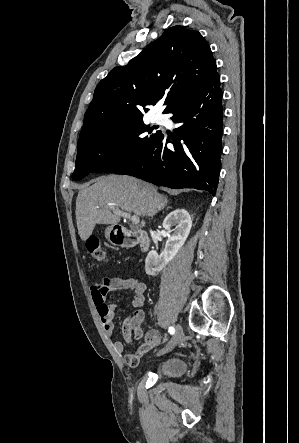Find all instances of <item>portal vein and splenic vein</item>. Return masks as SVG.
I'll list each match as a JSON object with an SVG mask.
<instances>
[{
	"label": "portal vein and splenic vein",
	"instance_id": "18ae733b",
	"mask_svg": "<svg viewBox=\"0 0 299 443\" xmlns=\"http://www.w3.org/2000/svg\"><path fill=\"white\" fill-rule=\"evenodd\" d=\"M118 214L125 217V218L130 219L132 224H134V225H137L139 223L138 216H135V215L131 216L130 214L122 212V211H118Z\"/></svg>",
	"mask_w": 299,
	"mask_h": 443
}]
</instances>
